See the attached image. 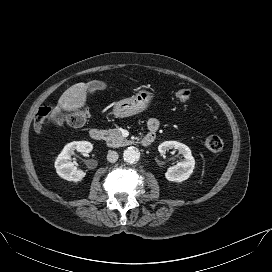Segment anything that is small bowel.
I'll return each mask as SVG.
<instances>
[{
  "label": "small bowel",
  "instance_id": "small-bowel-1",
  "mask_svg": "<svg viewBox=\"0 0 272 272\" xmlns=\"http://www.w3.org/2000/svg\"><path fill=\"white\" fill-rule=\"evenodd\" d=\"M148 133L155 134L159 128V121L156 118H149L146 122Z\"/></svg>",
  "mask_w": 272,
  "mask_h": 272
}]
</instances>
